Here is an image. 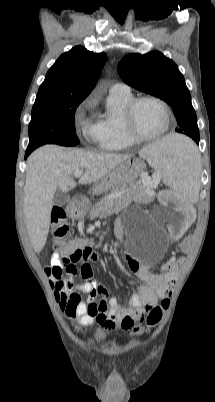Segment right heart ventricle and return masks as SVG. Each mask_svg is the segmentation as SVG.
<instances>
[{
  "label": "right heart ventricle",
  "mask_w": 215,
  "mask_h": 402,
  "mask_svg": "<svg viewBox=\"0 0 215 402\" xmlns=\"http://www.w3.org/2000/svg\"><path fill=\"white\" fill-rule=\"evenodd\" d=\"M133 98L130 91H110L107 110L99 120L100 134L98 144L101 149L118 151L127 149L135 144L128 137L123 126L124 109Z\"/></svg>",
  "instance_id": "1"
}]
</instances>
